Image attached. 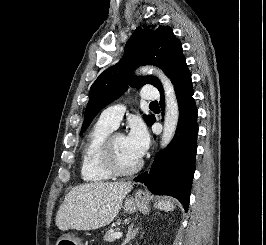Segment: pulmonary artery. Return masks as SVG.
<instances>
[{
	"mask_svg": "<svg viewBox=\"0 0 266 245\" xmlns=\"http://www.w3.org/2000/svg\"><path fill=\"white\" fill-rule=\"evenodd\" d=\"M144 95L141 96V101H156V91L154 86H145L144 87ZM139 95H142V92H139ZM125 106L123 105H114L109 106L106 109H104L101 114L99 115L98 121L108 123L113 128L117 127L120 120L122 119L124 113H125Z\"/></svg>",
	"mask_w": 266,
	"mask_h": 245,
	"instance_id": "pulmonary-artery-1",
	"label": "pulmonary artery"
}]
</instances>
